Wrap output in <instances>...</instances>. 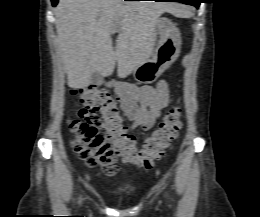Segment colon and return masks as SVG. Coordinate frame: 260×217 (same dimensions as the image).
Segmentation results:
<instances>
[{"mask_svg":"<svg viewBox=\"0 0 260 217\" xmlns=\"http://www.w3.org/2000/svg\"><path fill=\"white\" fill-rule=\"evenodd\" d=\"M76 95L80 109L78 117L69 121L74 135L72 148L88 166H99L108 176L117 172V158L124 163L151 169L182 127L181 108L174 107L164 116L144 146L137 149L110 92L85 88L77 91ZM97 113L101 114V122L96 118Z\"/></svg>","mask_w":260,"mask_h":217,"instance_id":"5ec220e1","label":"colon"}]
</instances>
